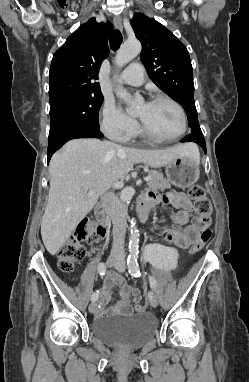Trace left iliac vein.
Returning a JSON list of instances; mask_svg holds the SVG:
<instances>
[{
  "label": "left iliac vein",
  "mask_w": 249,
  "mask_h": 382,
  "mask_svg": "<svg viewBox=\"0 0 249 382\" xmlns=\"http://www.w3.org/2000/svg\"><path fill=\"white\" fill-rule=\"evenodd\" d=\"M115 268L119 271V272H124L125 270V259L123 257H121L119 259V261L115 264ZM148 298H149V303L152 307H157L158 305V299H157V296L155 295V293L153 291H150L149 294H148Z\"/></svg>",
  "instance_id": "obj_1"
}]
</instances>
